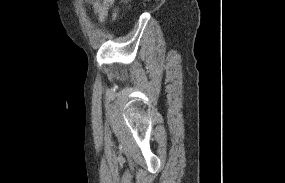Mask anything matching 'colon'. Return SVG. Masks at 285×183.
<instances>
[{
  "mask_svg": "<svg viewBox=\"0 0 285 183\" xmlns=\"http://www.w3.org/2000/svg\"><path fill=\"white\" fill-rule=\"evenodd\" d=\"M130 0H122V2H124V3H127V2H129Z\"/></svg>",
  "mask_w": 285,
  "mask_h": 183,
  "instance_id": "colon-1",
  "label": "colon"
}]
</instances>
